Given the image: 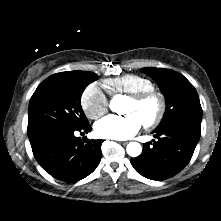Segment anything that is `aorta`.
I'll return each instance as SVG.
<instances>
[{
    "label": "aorta",
    "mask_w": 221,
    "mask_h": 221,
    "mask_svg": "<svg viewBox=\"0 0 221 221\" xmlns=\"http://www.w3.org/2000/svg\"><path fill=\"white\" fill-rule=\"evenodd\" d=\"M116 99H113L110 103V108L114 110ZM127 154L131 157H137L142 152V147L138 142H130L126 148Z\"/></svg>",
    "instance_id": "1"
}]
</instances>
